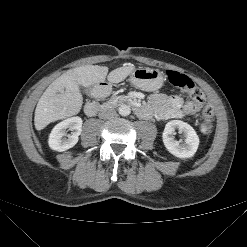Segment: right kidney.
Here are the masks:
<instances>
[{"instance_id":"1","label":"right kidney","mask_w":247,"mask_h":247,"mask_svg":"<svg viewBox=\"0 0 247 247\" xmlns=\"http://www.w3.org/2000/svg\"><path fill=\"white\" fill-rule=\"evenodd\" d=\"M82 124L83 121L78 116L68 118L58 123L49 135V147L52 150L63 152L75 146L79 139L78 136L82 131ZM68 130H71L72 133L68 135L67 139H63Z\"/></svg>"}]
</instances>
